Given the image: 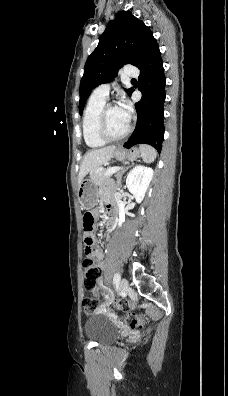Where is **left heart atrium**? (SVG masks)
Returning a JSON list of instances; mask_svg holds the SVG:
<instances>
[{"instance_id": "left-heart-atrium-1", "label": "left heart atrium", "mask_w": 228, "mask_h": 396, "mask_svg": "<svg viewBox=\"0 0 228 396\" xmlns=\"http://www.w3.org/2000/svg\"><path fill=\"white\" fill-rule=\"evenodd\" d=\"M126 122L129 121L131 116V105L126 99H122L117 107Z\"/></svg>"}]
</instances>
